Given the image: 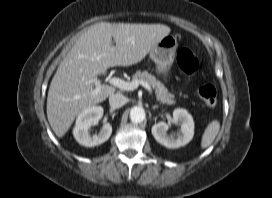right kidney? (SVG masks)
Segmentation results:
<instances>
[{"mask_svg":"<svg viewBox=\"0 0 272 198\" xmlns=\"http://www.w3.org/2000/svg\"><path fill=\"white\" fill-rule=\"evenodd\" d=\"M103 116L101 106H93L83 110L76 119L73 135L76 141L85 147H94L107 141L112 134V126L105 123L98 134L90 136L89 128L96 125Z\"/></svg>","mask_w":272,"mask_h":198,"instance_id":"obj_1","label":"right kidney"}]
</instances>
